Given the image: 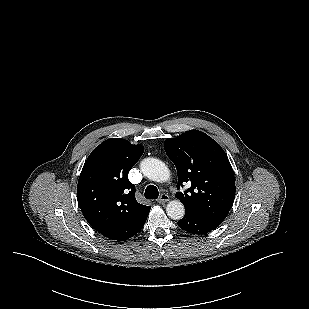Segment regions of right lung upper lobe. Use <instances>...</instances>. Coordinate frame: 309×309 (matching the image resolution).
Instances as JSON below:
<instances>
[{
  "mask_svg": "<svg viewBox=\"0 0 309 309\" xmlns=\"http://www.w3.org/2000/svg\"><path fill=\"white\" fill-rule=\"evenodd\" d=\"M144 152L121 138L97 146L81 171L77 196L88 223L104 237L126 240L144 226L150 206L137 202L128 173Z\"/></svg>",
  "mask_w": 309,
  "mask_h": 309,
  "instance_id": "1",
  "label": "right lung upper lobe"
}]
</instances>
